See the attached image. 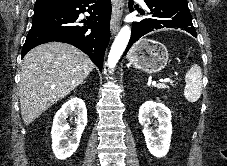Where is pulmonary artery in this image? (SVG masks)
<instances>
[{
  "mask_svg": "<svg viewBox=\"0 0 227 166\" xmlns=\"http://www.w3.org/2000/svg\"><path fill=\"white\" fill-rule=\"evenodd\" d=\"M138 1L143 8H147V4L145 3L144 0H138Z\"/></svg>",
  "mask_w": 227,
  "mask_h": 166,
  "instance_id": "obj_1",
  "label": "pulmonary artery"
}]
</instances>
